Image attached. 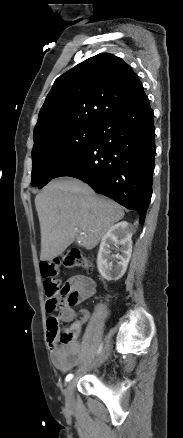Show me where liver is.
Instances as JSON below:
<instances>
[{
  "label": "liver",
  "instance_id": "liver-1",
  "mask_svg": "<svg viewBox=\"0 0 183 438\" xmlns=\"http://www.w3.org/2000/svg\"><path fill=\"white\" fill-rule=\"evenodd\" d=\"M41 230L40 260L51 261L77 240L93 249L112 225L124 217L116 202L98 196L75 178L52 180L35 197Z\"/></svg>",
  "mask_w": 183,
  "mask_h": 438
}]
</instances>
